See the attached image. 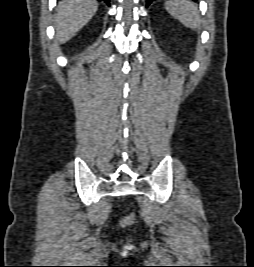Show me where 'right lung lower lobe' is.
Returning <instances> with one entry per match:
<instances>
[{"label": "right lung lower lobe", "instance_id": "98d812e1", "mask_svg": "<svg viewBox=\"0 0 254 267\" xmlns=\"http://www.w3.org/2000/svg\"><path fill=\"white\" fill-rule=\"evenodd\" d=\"M108 6H110V0H103Z\"/></svg>", "mask_w": 254, "mask_h": 267}]
</instances>
